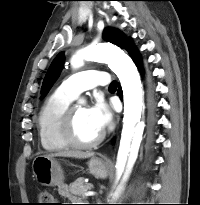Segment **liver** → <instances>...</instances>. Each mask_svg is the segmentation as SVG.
Returning <instances> with one entry per match:
<instances>
[{
    "instance_id": "liver-1",
    "label": "liver",
    "mask_w": 200,
    "mask_h": 205,
    "mask_svg": "<svg viewBox=\"0 0 200 205\" xmlns=\"http://www.w3.org/2000/svg\"><path fill=\"white\" fill-rule=\"evenodd\" d=\"M94 154L91 152H81V151H61V152H57L55 154H49L46 155L48 157H55V156H61V157H75V158H79V159H84V158H89L92 157Z\"/></svg>"
}]
</instances>
